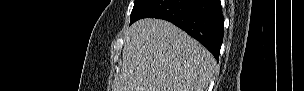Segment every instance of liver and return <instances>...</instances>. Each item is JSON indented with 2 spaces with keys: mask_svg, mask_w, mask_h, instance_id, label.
Here are the masks:
<instances>
[{
  "mask_svg": "<svg viewBox=\"0 0 304 91\" xmlns=\"http://www.w3.org/2000/svg\"><path fill=\"white\" fill-rule=\"evenodd\" d=\"M113 91H205L216 61L172 23L141 19L128 30Z\"/></svg>",
  "mask_w": 304,
  "mask_h": 91,
  "instance_id": "obj_1",
  "label": "liver"
}]
</instances>
